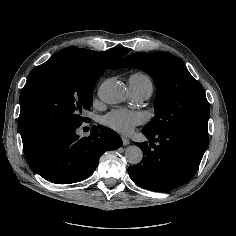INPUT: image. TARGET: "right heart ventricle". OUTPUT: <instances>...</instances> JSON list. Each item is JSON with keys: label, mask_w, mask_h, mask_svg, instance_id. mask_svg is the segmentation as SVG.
I'll return each instance as SVG.
<instances>
[{"label": "right heart ventricle", "mask_w": 236, "mask_h": 236, "mask_svg": "<svg viewBox=\"0 0 236 236\" xmlns=\"http://www.w3.org/2000/svg\"><path fill=\"white\" fill-rule=\"evenodd\" d=\"M129 86L135 89L144 90L151 95L153 91V82L151 78L142 72H137L129 77Z\"/></svg>", "instance_id": "right-heart-ventricle-1"}]
</instances>
